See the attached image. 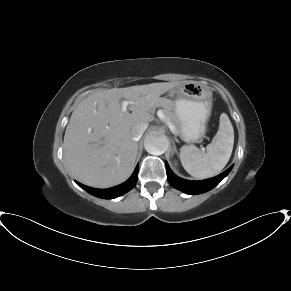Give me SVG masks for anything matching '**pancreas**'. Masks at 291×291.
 Here are the masks:
<instances>
[{
  "label": "pancreas",
  "mask_w": 291,
  "mask_h": 291,
  "mask_svg": "<svg viewBox=\"0 0 291 291\" xmlns=\"http://www.w3.org/2000/svg\"><path fill=\"white\" fill-rule=\"evenodd\" d=\"M156 107H161L166 119L171 122L176 129L179 128V120L174 113V102L170 99L159 98Z\"/></svg>",
  "instance_id": "1"
}]
</instances>
